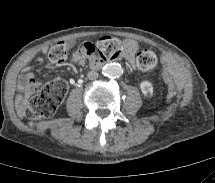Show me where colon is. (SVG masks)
I'll return each instance as SVG.
<instances>
[{
  "mask_svg": "<svg viewBox=\"0 0 215 183\" xmlns=\"http://www.w3.org/2000/svg\"><path fill=\"white\" fill-rule=\"evenodd\" d=\"M85 56L94 60L107 61L115 59L123 52L122 42L114 37H102L96 42H87L80 49ZM69 46L65 42L54 44L49 51V59L54 64L65 61ZM137 65L144 72H153L157 65V57L150 50L137 54ZM68 90L64 80L57 79L46 83L41 90L31 97L23 107V115L32 120L52 117L62 103Z\"/></svg>",
  "mask_w": 215,
  "mask_h": 183,
  "instance_id": "1",
  "label": "colon"
}]
</instances>
